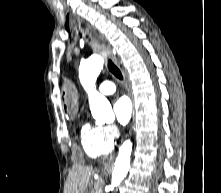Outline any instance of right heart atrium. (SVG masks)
<instances>
[{
  "label": "right heart atrium",
  "instance_id": "d8ad5b80",
  "mask_svg": "<svg viewBox=\"0 0 221 193\" xmlns=\"http://www.w3.org/2000/svg\"><path fill=\"white\" fill-rule=\"evenodd\" d=\"M103 132L106 139L110 142H114V140L118 137V129L115 125L109 124L103 126Z\"/></svg>",
  "mask_w": 221,
  "mask_h": 193
}]
</instances>
